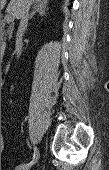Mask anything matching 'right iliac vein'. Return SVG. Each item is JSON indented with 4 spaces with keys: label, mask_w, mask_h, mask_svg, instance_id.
<instances>
[{
    "label": "right iliac vein",
    "mask_w": 109,
    "mask_h": 170,
    "mask_svg": "<svg viewBox=\"0 0 109 170\" xmlns=\"http://www.w3.org/2000/svg\"><path fill=\"white\" fill-rule=\"evenodd\" d=\"M32 165H28V163L20 164L15 168V170H29Z\"/></svg>",
    "instance_id": "right-iliac-vein-1"
}]
</instances>
